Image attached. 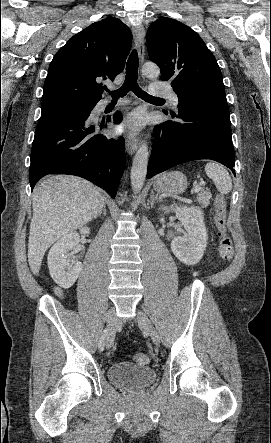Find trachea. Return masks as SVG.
Wrapping results in <instances>:
<instances>
[{
    "label": "trachea",
    "instance_id": "trachea-1",
    "mask_svg": "<svg viewBox=\"0 0 271 443\" xmlns=\"http://www.w3.org/2000/svg\"><path fill=\"white\" fill-rule=\"evenodd\" d=\"M138 66L139 60L136 50L130 54L128 62L126 64V78L125 81L118 90L112 92V98L118 99L124 97L130 90L135 93L139 98L146 101H165L163 98L152 97L148 93L144 92L138 85Z\"/></svg>",
    "mask_w": 271,
    "mask_h": 443
}]
</instances>
